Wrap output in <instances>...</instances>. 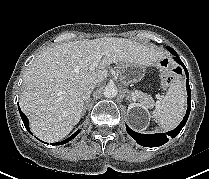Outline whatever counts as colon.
<instances>
[{
    "label": "colon",
    "mask_w": 209,
    "mask_h": 179,
    "mask_svg": "<svg viewBox=\"0 0 209 179\" xmlns=\"http://www.w3.org/2000/svg\"><path fill=\"white\" fill-rule=\"evenodd\" d=\"M180 75H181V70L179 68H173V69L169 70L165 75L164 84L169 85L175 79L179 78Z\"/></svg>",
    "instance_id": "1"
}]
</instances>
